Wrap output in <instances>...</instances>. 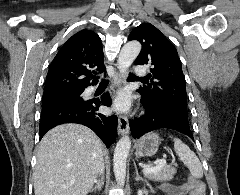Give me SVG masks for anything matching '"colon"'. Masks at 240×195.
Listing matches in <instances>:
<instances>
[{"label": "colon", "instance_id": "5ec220e1", "mask_svg": "<svg viewBox=\"0 0 240 195\" xmlns=\"http://www.w3.org/2000/svg\"><path fill=\"white\" fill-rule=\"evenodd\" d=\"M186 183H190V187H193L194 191H197L198 193L202 192V180L195 181V177H191L190 173L186 174Z\"/></svg>", "mask_w": 240, "mask_h": 195}]
</instances>
